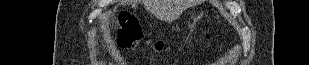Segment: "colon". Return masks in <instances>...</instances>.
I'll use <instances>...</instances> for the list:
<instances>
[{"label": "colon", "mask_w": 309, "mask_h": 65, "mask_svg": "<svg viewBox=\"0 0 309 65\" xmlns=\"http://www.w3.org/2000/svg\"><path fill=\"white\" fill-rule=\"evenodd\" d=\"M118 44L122 48H131L138 41L143 39V31L137 18L128 12H121L118 15ZM155 48L158 51L163 49L162 42H156Z\"/></svg>", "instance_id": "1"}]
</instances>
